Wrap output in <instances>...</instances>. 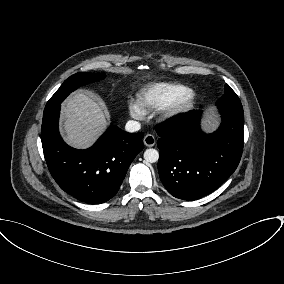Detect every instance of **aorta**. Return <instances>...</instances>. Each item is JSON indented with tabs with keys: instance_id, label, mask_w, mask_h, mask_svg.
<instances>
[{
	"instance_id": "1",
	"label": "aorta",
	"mask_w": 284,
	"mask_h": 284,
	"mask_svg": "<svg viewBox=\"0 0 284 284\" xmlns=\"http://www.w3.org/2000/svg\"><path fill=\"white\" fill-rule=\"evenodd\" d=\"M159 159V152L156 149L150 148L144 152V160L148 163H155Z\"/></svg>"
}]
</instances>
